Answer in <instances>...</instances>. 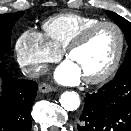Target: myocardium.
Listing matches in <instances>:
<instances>
[{
	"label": "myocardium",
	"mask_w": 131,
	"mask_h": 131,
	"mask_svg": "<svg viewBox=\"0 0 131 131\" xmlns=\"http://www.w3.org/2000/svg\"><path fill=\"white\" fill-rule=\"evenodd\" d=\"M102 27H112L116 30L118 37H119V45H118V50L115 55L114 60L110 64V66L104 70L102 73L93 76V77H85L83 80L88 83V84H99L107 79H109L118 69L123 54L125 50V35L122 30V28L115 22L112 21H100L95 24L90 25L89 27L85 28L82 32H80L72 41L71 43L67 46V48L64 51L65 57L68 59L69 56L76 51L77 49L81 48L84 46L90 37L100 28Z\"/></svg>",
	"instance_id": "1"
}]
</instances>
